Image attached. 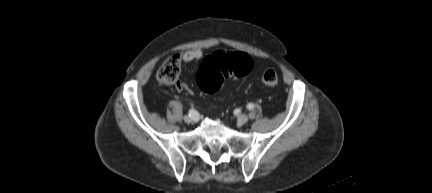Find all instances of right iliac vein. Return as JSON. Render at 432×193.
<instances>
[{
    "mask_svg": "<svg viewBox=\"0 0 432 193\" xmlns=\"http://www.w3.org/2000/svg\"><path fill=\"white\" fill-rule=\"evenodd\" d=\"M184 121H185L186 123L197 122V121H198V116L196 115V116H194V117H190V116L186 115V116L184 117Z\"/></svg>",
    "mask_w": 432,
    "mask_h": 193,
    "instance_id": "right-iliac-vein-1",
    "label": "right iliac vein"
}]
</instances>
